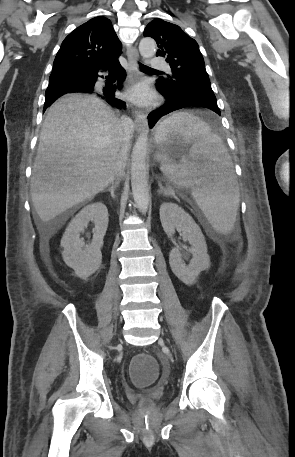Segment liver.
<instances>
[{
    "instance_id": "liver-1",
    "label": "liver",
    "mask_w": 295,
    "mask_h": 457,
    "mask_svg": "<svg viewBox=\"0 0 295 457\" xmlns=\"http://www.w3.org/2000/svg\"><path fill=\"white\" fill-rule=\"evenodd\" d=\"M123 134L121 120L95 96L69 94L49 108L30 185L42 222L93 199L113 182L118 156L129 149Z\"/></svg>"
}]
</instances>
